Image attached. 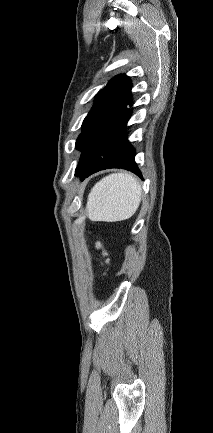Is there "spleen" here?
Instances as JSON below:
<instances>
[{
	"mask_svg": "<svg viewBox=\"0 0 213 433\" xmlns=\"http://www.w3.org/2000/svg\"><path fill=\"white\" fill-rule=\"evenodd\" d=\"M141 196V185L132 174H110L91 189L86 206L88 218L104 222L129 219L137 211Z\"/></svg>",
	"mask_w": 213,
	"mask_h": 433,
	"instance_id": "obj_1",
	"label": "spleen"
}]
</instances>
